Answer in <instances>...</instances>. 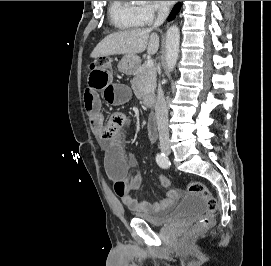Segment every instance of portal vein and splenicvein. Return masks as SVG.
<instances>
[{
  "instance_id": "obj_1",
  "label": "portal vein and splenic vein",
  "mask_w": 271,
  "mask_h": 266,
  "mask_svg": "<svg viewBox=\"0 0 271 266\" xmlns=\"http://www.w3.org/2000/svg\"><path fill=\"white\" fill-rule=\"evenodd\" d=\"M147 66H149V67H153V65H154V63H153V60H148L147 62Z\"/></svg>"
}]
</instances>
